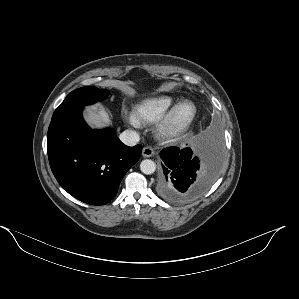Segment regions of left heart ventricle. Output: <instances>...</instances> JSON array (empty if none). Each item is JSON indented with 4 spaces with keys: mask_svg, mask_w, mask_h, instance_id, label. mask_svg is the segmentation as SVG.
<instances>
[{
    "mask_svg": "<svg viewBox=\"0 0 299 299\" xmlns=\"http://www.w3.org/2000/svg\"><path fill=\"white\" fill-rule=\"evenodd\" d=\"M188 113L189 112H187V111L182 112L181 118L184 119L188 115Z\"/></svg>",
    "mask_w": 299,
    "mask_h": 299,
    "instance_id": "obj_1",
    "label": "left heart ventricle"
}]
</instances>
